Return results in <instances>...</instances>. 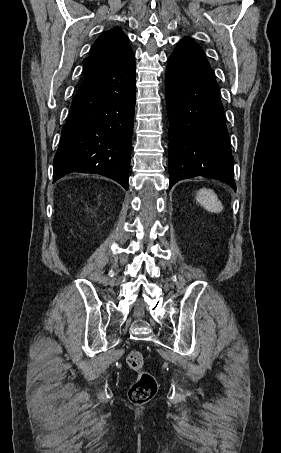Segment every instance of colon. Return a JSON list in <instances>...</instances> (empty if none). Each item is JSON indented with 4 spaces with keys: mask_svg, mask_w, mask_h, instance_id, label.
<instances>
[{
    "mask_svg": "<svg viewBox=\"0 0 281 453\" xmlns=\"http://www.w3.org/2000/svg\"><path fill=\"white\" fill-rule=\"evenodd\" d=\"M125 363L137 376L128 392V399L134 404L149 402L156 394L158 382L155 375L146 368V362L139 351H130L125 355Z\"/></svg>",
    "mask_w": 281,
    "mask_h": 453,
    "instance_id": "5ec220e1",
    "label": "colon"
}]
</instances>
